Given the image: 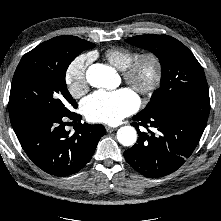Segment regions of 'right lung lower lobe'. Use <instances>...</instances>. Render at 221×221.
Listing matches in <instances>:
<instances>
[{
  "instance_id": "right-lung-lower-lobe-1",
  "label": "right lung lower lobe",
  "mask_w": 221,
  "mask_h": 221,
  "mask_svg": "<svg viewBox=\"0 0 221 221\" xmlns=\"http://www.w3.org/2000/svg\"><path fill=\"white\" fill-rule=\"evenodd\" d=\"M79 120L80 115H49L29 113L11 120L16 136L28 157L43 171L64 177L80 171L91 159L100 138L105 135L103 125H75L70 136L63 118ZM76 122V121H75Z\"/></svg>"
}]
</instances>
